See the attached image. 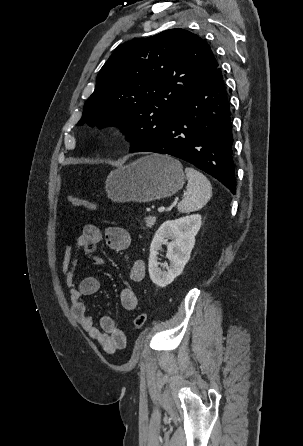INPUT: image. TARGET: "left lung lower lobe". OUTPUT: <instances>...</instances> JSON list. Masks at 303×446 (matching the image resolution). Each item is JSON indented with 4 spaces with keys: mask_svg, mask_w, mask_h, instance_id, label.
<instances>
[{
    "mask_svg": "<svg viewBox=\"0 0 303 446\" xmlns=\"http://www.w3.org/2000/svg\"><path fill=\"white\" fill-rule=\"evenodd\" d=\"M228 97L219 67L178 106L170 124L135 152L181 158L236 192Z\"/></svg>",
    "mask_w": 303,
    "mask_h": 446,
    "instance_id": "0a47b994",
    "label": "left lung lower lobe"
}]
</instances>
